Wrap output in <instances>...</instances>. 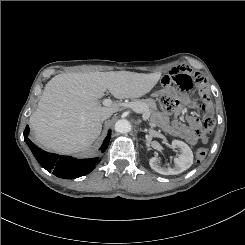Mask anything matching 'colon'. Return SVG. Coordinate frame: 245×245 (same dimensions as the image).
Masks as SVG:
<instances>
[{
  "label": "colon",
  "mask_w": 245,
  "mask_h": 245,
  "mask_svg": "<svg viewBox=\"0 0 245 245\" xmlns=\"http://www.w3.org/2000/svg\"><path fill=\"white\" fill-rule=\"evenodd\" d=\"M159 104L164 111L170 112L176 109V107L178 106V100L174 95L169 93H164L159 98ZM214 126H215L214 120L209 117L206 118L203 121L202 126L197 131L198 138L202 142H206L208 139V135L212 132ZM206 155H207V150L205 148L202 147L198 148L196 151L197 162H202L206 158Z\"/></svg>",
  "instance_id": "colon-1"
}]
</instances>
